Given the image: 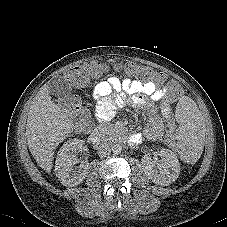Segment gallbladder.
<instances>
[{"instance_id":"bac80fb5","label":"gallbladder","mask_w":227,"mask_h":227,"mask_svg":"<svg viewBox=\"0 0 227 227\" xmlns=\"http://www.w3.org/2000/svg\"><path fill=\"white\" fill-rule=\"evenodd\" d=\"M48 91L63 102L72 100V88L62 76H56L49 81Z\"/></svg>"}]
</instances>
